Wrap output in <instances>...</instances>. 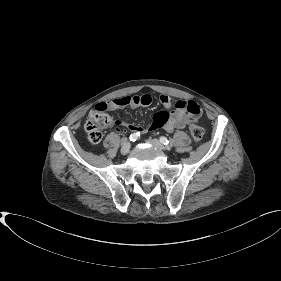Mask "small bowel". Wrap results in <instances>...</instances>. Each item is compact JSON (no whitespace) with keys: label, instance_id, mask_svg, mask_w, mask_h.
<instances>
[{"label":"small bowel","instance_id":"c3829d8e","mask_svg":"<svg viewBox=\"0 0 281 281\" xmlns=\"http://www.w3.org/2000/svg\"><path fill=\"white\" fill-rule=\"evenodd\" d=\"M151 102L152 97L149 94L123 96L107 102L98 103L96 109L117 110L127 107H146L149 106ZM159 102L166 110L155 113L152 117V122L149 125L128 123L122 120H116L115 124L139 134H145L159 128L171 132L175 129L185 128L191 122L195 121L201 114V108L194 101L179 100L175 103V109L171 112L167 111V109L172 106V100L168 95H160ZM118 130L122 131L121 129Z\"/></svg>","mask_w":281,"mask_h":281}]
</instances>
